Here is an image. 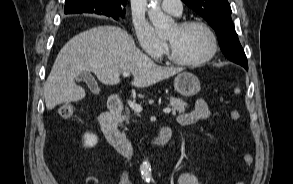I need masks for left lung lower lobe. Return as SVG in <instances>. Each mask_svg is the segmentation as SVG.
<instances>
[{"instance_id": "0a47b994", "label": "left lung lower lobe", "mask_w": 293, "mask_h": 184, "mask_svg": "<svg viewBox=\"0 0 293 184\" xmlns=\"http://www.w3.org/2000/svg\"><path fill=\"white\" fill-rule=\"evenodd\" d=\"M235 63L243 66L246 70H248V63H247V60H238L236 61Z\"/></svg>"}]
</instances>
